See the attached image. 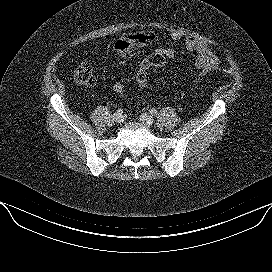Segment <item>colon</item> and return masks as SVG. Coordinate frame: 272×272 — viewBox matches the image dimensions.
<instances>
[{
	"label": "colon",
	"instance_id": "colon-1",
	"mask_svg": "<svg viewBox=\"0 0 272 272\" xmlns=\"http://www.w3.org/2000/svg\"><path fill=\"white\" fill-rule=\"evenodd\" d=\"M134 40L136 41L138 47H143L148 45L154 35L152 33H135ZM166 63V57L164 55L153 53L148 56L139 66L136 73V83L140 88L148 87V72L153 67H162ZM224 73H231L230 69H224ZM74 81L82 86H92L95 83V77L92 66L87 62L80 63L73 73ZM113 90L120 94L124 91V86L121 82H116L113 85Z\"/></svg>",
	"mask_w": 272,
	"mask_h": 272
}]
</instances>
